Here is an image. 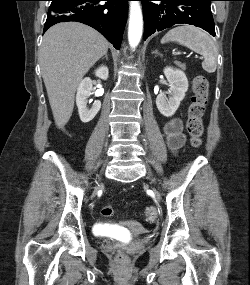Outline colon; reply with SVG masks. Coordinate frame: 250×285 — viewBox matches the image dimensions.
Segmentation results:
<instances>
[{
	"mask_svg": "<svg viewBox=\"0 0 250 285\" xmlns=\"http://www.w3.org/2000/svg\"><path fill=\"white\" fill-rule=\"evenodd\" d=\"M193 96L188 109L187 131L190 135L191 144L193 147H199L202 142L204 133L203 116L208 103L209 82L206 77L197 75L192 81ZM114 213L111 204L102 207L101 214L104 217H111ZM143 218L152 222L157 217V210L153 206L146 207L142 212ZM116 259L119 263L124 262L125 256L121 251H118Z\"/></svg>",
	"mask_w": 250,
	"mask_h": 285,
	"instance_id": "5ec220e1",
	"label": "colon"
}]
</instances>
